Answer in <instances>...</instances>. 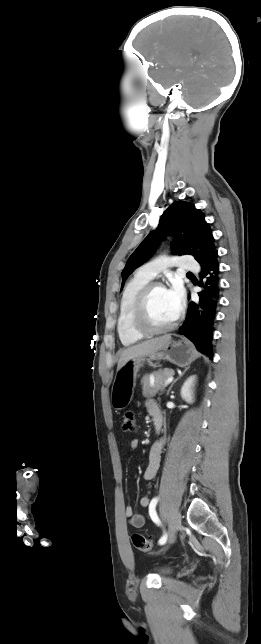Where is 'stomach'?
Listing matches in <instances>:
<instances>
[{"mask_svg": "<svg viewBox=\"0 0 261 644\" xmlns=\"http://www.w3.org/2000/svg\"><path fill=\"white\" fill-rule=\"evenodd\" d=\"M198 354L194 346L186 339L170 340L158 350L128 360L117 371L111 388V405L115 410L127 407L133 399L137 373L145 362L167 360L179 367L189 366Z\"/></svg>", "mask_w": 261, "mask_h": 644, "instance_id": "stomach-1", "label": "stomach"}]
</instances>
